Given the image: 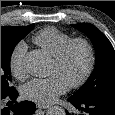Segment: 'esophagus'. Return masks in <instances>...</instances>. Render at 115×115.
I'll list each match as a JSON object with an SVG mask.
<instances>
[{
	"label": "esophagus",
	"mask_w": 115,
	"mask_h": 115,
	"mask_svg": "<svg viewBox=\"0 0 115 115\" xmlns=\"http://www.w3.org/2000/svg\"><path fill=\"white\" fill-rule=\"evenodd\" d=\"M37 108H39V109H46V108H48V106L47 105L37 104Z\"/></svg>",
	"instance_id": "1"
}]
</instances>
